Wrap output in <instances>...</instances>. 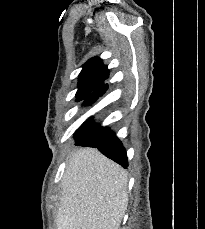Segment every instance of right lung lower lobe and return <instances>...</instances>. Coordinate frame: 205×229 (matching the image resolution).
<instances>
[{
    "label": "right lung lower lobe",
    "mask_w": 205,
    "mask_h": 229,
    "mask_svg": "<svg viewBox=\"0 0 205 229\" xmlns=\"http://www.w3.org/2000/svg\"><path fill=\"white\" fill-rule=\"evenodd\" d=\"M108 88V84H103L96 90L86 95L81 100L85 99L87 104L93 103L98 97L103 95ZM88 119L77 130L76 145L83 147H96L101 153L108 158L114 160L124 168L128 167L126 151L122 143L115 136L114 132L100 125H91Z\"/></svg>",
    "instance_id": "1"
}]
</instances>
